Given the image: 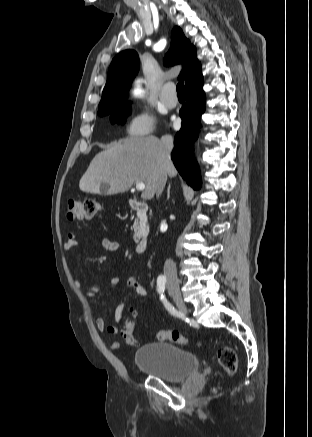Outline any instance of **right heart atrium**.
Listing matches in <instances>:
<instances>
[{"instance_id": "1", "label": "right heart atrium", "mask_w": 312, "mask_h": 437, "mask_svg": "<svg viewBox=\"0 0 312 437\" xmlns=\"http://www.w3.org/2000/svg\"><path fill=\"white\" fill-rule=\"evenodd\" d=\"M153 129V117L147 112H139L128 120L125 132L131 137H142L150 134Z\"/></svg>"}]
</instances>
